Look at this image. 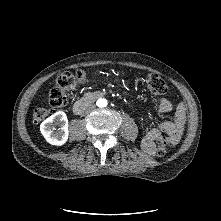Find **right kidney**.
Segmentation results:
<instances>
[{
  "mask_svg": "<svg viewBox=\"0 0 221 221\" xmlns=\"http://www.w3.org/2000/svg\"><path fill=\"white\" fill-rule=\"evenodd\" d=\"M55 126H59V128L56 129ZM40 131L51 145L61 146L65 144L69 136L66 114L63 111L54 113L41 123Z\"/></svg>",
  "mask_w": 221,
  "mask_h": 221,
  "instance_id": "right-kidney-1",
  "label": "right kidney"
}]
</instances>
